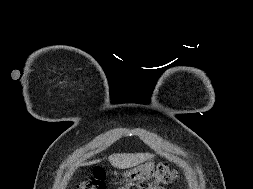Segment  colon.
<instances>
[{"label":"colon","instance_id":"1","mask_svg":"<svg viewBox=\"0 0 253 189\" xmlns=\"http://www.w3.org/2000/svg\"><path fill=\"white\" fill-rule=\"evenodd\" d=\"M177 178L176 173L166 164H160L154 171L137 181L127 183L118 189H160ZM77 189H106L105 173L102 169H94L91 175L77 185Z\"/></svg>","mask_w":253,"mask_h":189}]
</instances>
